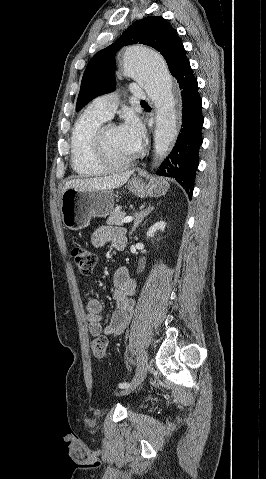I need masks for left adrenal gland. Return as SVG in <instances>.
I'll list each match as a JSON object with an SVG mask.
<instances>
[{
	"instance_id": "1",
	"label": "left adrenal gland",
	"mask_w": 266,
	"mask_h": 479,
	"mask_svg": "<svg viewBox=\"0 0 266 479\" xmlns=\"http://www.w3.org/2000/svg\"><path fill=\"white\" fill-rule=\"evenodd\" d=\"M154 210V207L153 206H149L147 207L145 210L137 213L135 215V219H134V225L132 227V230L130 231V235H132V233L135 231V229L139 226V224H141L143 222V220Z\"/></svg>"
}]
</instances>
